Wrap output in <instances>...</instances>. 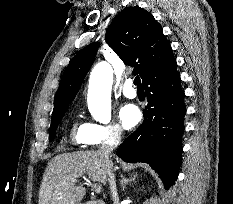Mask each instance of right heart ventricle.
Returning <instances> with one entry per match:
<instances>
[{"instance_id":"e07e8e85","label":"right heart ventricle","mask_w":233,"mask_h":204,"mask_svg":"<svg viewBox=\"0 0 233 204\" xmlns=\"http://www.w3.org/2000/svg\"><path fill=\"white\" fill-rule=\"evenodd\" d=\"M86 123L75 120L70 130V138L76 144H83Z\"/></svg>"}]
</instances>
